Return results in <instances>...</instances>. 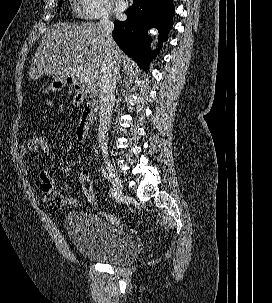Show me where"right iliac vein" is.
Returning a JSON list of instances; mask_svg holds the SVG:
<instances>
[{"label": "right iliac vein", "mask_w": 272, "mask_h": 303, "mask_svg": "<svg viewBox=\"0 0 272 303\" xmlns=\"http://www.w3.org/2000/svg\"><path fill=\"white\" fill-rule=\"evenodd\" d=\"M106 170L109 174L110 181H111L113 189L116 193L117 200L119 202H122L124 199V191H123V187L121 184V180H120L119 176L117 175V173L115 172L111 162L108 160L106 161Z\"/></svg>", "instance_id": "obj_1"}]
</instances>
